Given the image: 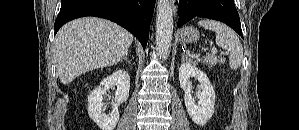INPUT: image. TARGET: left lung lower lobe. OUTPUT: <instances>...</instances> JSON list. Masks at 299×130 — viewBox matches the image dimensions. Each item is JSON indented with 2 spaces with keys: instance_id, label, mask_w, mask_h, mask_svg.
I'll return each instance as SVG.
<instances>
[{
  "instance_id": "1",
  "label": "left lung lower lobe",
  "mask_w": 299,
  "mask_h": 130,
  "mask_svg": "<svg viewBox=\"0 0 299 130\" xmlns=\"http://www.w3.org/2000/svg\"><path fill=\"white\" fill-rule=\"evenodd\" d=\"M178 13V28L194 17H203L227 24L243 38L234 0H180Z\"/></svg>"
}]
</instances>
